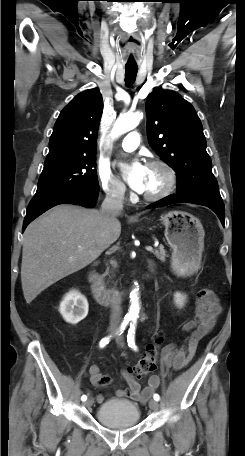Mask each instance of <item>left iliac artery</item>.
<instances>
[{"label": "left iliac artery", "mask_w": 245, "mask_h": 456, "mask_svg": "<svg viewBox=\"0 0 245 456\" xmlns=\"http://www.w3.org/2000/svg\"><path fill=\"white\" fill-rule=\"evenodd\" d=\"M127 342L130 348H132L135 351L137 350V346L135 344V322H133V324H130V328L127 335ZM153 398L156 401L160 400V396L158 394H154Z\"/></svg>", "instance_id": "44dca946"}]
</instances>
